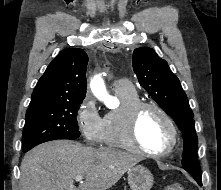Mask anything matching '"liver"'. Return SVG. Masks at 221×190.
<instances>
[{"label": "liver", "mask_w": 221, "mask_h": 190, "mask_svg": "<svg viewBox=\"0 0 221 190\" xmlns=\"http://www.w3.org/2000/svg\"><path fill=\"white\" fill-rule=\"evenodd\" d=\"M143 157L108 147H85L56 140L26 153L21 162V190H107ZM85 181L74 185L76 176Z\"/></svg>", "instance_id": "1"}]
</instances>
